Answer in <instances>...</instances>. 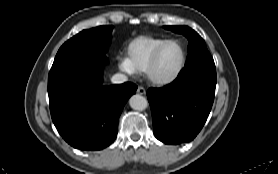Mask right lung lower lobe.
<instances>
[{
  "label": "right lung lower lobe",
  "mask_w": 278,
  "mask_h": 174,
  "mask_svg": "<svg viewBox=\"0 0 278 174\" xmlns=\"http://www.w3.org/2000/svg\"><path fill=\"white\" fill-rule=\"evenodd\" d=\"M103 67L90 60H72L51 68L48 95L53 123L77 149L100 150L117 136L118 119L133 83L102 85Z\"/></svg>",
  "instance_id": "98d812e1"
}]
</instances>
